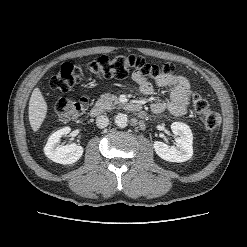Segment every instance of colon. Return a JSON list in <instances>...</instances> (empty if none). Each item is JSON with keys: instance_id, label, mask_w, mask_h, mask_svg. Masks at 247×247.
I'll use <instances>...</instances> for the list:
<instances>
[{"instance_id": "1", "label": "colon", "mask_w": 247, "mask_h": 247, "mask_svg": "<svg viewBox=\"0 0 247 247\" xmlns=\"http://www.w3.org/2000/svg\"><path fill=\"white\" fill-rule=\"evenodd\" d=\"M166 66L150 64L140 56H101L92 61L86 68V72L97 79H123L133 71L145 78L157 79L166 74ZM82 79L78 65L64 63L51 78L50 85L54 90L66 93L70 91ZM193 110L204 117L205 126L208 129H216L221 124V116L218 112L209 108L208 102L198 94L191 99ZM88 107V99L59 98L54 103V111L62 120H72L79 117Z\"/></svg>"}]
</instances>
